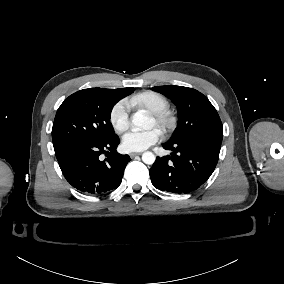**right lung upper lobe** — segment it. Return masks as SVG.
Returning <instances> with one entry per match:
<instances>
[{
  "label": "right lung upper lobe",
  "mask_w": 284,
  "mask_h": 284,
  "mask_svg": "<svg viewBox=\"0 0 284 284\" xmlns=\"http://www.w3.org/2000/svg\"><path fill=\"white\" fill-rule=\"evenodd\" d=\"M113 92L118 98L122 99L123 97L131 94L134 91L133 87L128 88H118V89H109Z\"/></svg>",
  "instance_id": "1"
}]
</instances>
